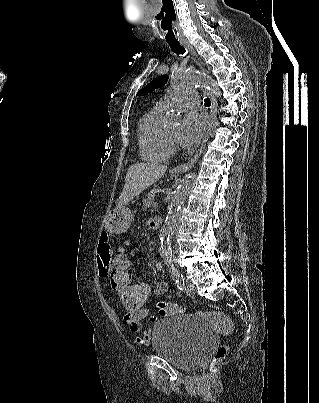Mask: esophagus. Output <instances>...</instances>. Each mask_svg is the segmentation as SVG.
I'll return each instance as SVG.
<instances>
[{"label": "esophagus", "instance_id": "34e87169", "mask_svg": "<svg viewBox=\"0 0 319 403\" xmlns=\"http://www.w3.org/2000/svg\"><path fill=\"white\" fill-rule=\"evenodd\" d=\"M181 44L184 45L186 48H188L192 52L193 55H195V51H194L193 47L190 45V43L188 41L182 40ZM216 120H217V104H216L215 97L213 95H211L210 124H209V128H208V130H207V132H206V134H205V136L203 138L202 144H201L200 148L197 150V152L195 153V155L192 157V159L189 162L174 167L172 169L173 172H175V173H184V172L190 170L193 167V165L196 163V161L200 157L203 149L206 146V143H207V141L209 139V136H210V134H211V132H212L214 126H215Z\"/></svg>", "mask_w": 319, "mask_h": 403}]
</instances>
